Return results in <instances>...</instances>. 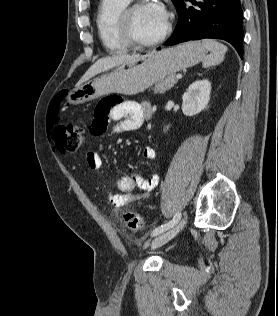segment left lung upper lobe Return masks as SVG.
<instances>
[{
  "label": "left lung upper lobe",
  "instance_id": "left-lung-upper-lobe-1",
  "mask_svg": "<svg viewBox=\"0 0 278 316\" xmlns=\"http://www.w3.org/2000/svg\"><path fill=\"white\" fill-rule=\"evenodd\" d=\"M172 1H173L174 5L176 6L180 0H172Z\"/></svg>",
  "mask_w": 278,
  "mask_h": 316
}]
</instances>
